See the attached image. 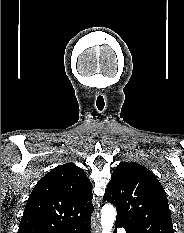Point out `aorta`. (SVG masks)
<instances>
[{"instance_id": "1", "label": "aorta", "mask_w": 184, "mask_h": 233, "mask_svg": "<svg viewBox=\"0 0 184 233\" xmlns=\"http://www.w3.org/2000/svg\"><path fill=\"white\" fill-rule=\"evenodd\" d=\"M116 218V210L113 205L105 204L101 211L102 233H111Z\"/></svg>"}]
</instances>
